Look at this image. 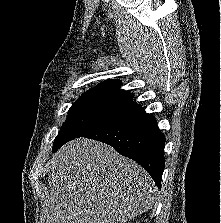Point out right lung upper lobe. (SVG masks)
Listing matches in <instances>:
<instances>
[{
  "label": "right lung upper lobe",
  "instance_id": "1",
  "mask_svg": "<svg viewBox=\"0 0 221 223\" xmlns=\"http://www.w3.org/2000/svg\"><path fill=\"white\" fill-rule=\"evenodd\" d=\"M120 85L121 82L117 80H109L106 82H102L94 89H90L88 92L82 94L79 100H84V99L103 100V101L132 105L136 108L139 107L140 105L133 102L131 95L128 92L121 91L119 89Z\"/></svg>",
  "mask_w": 221,
  "mask_h": 223
}]
</instances>
